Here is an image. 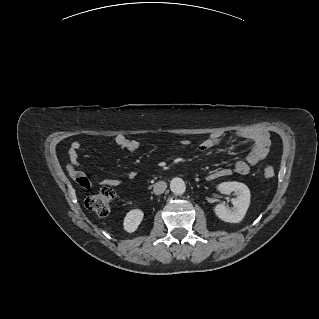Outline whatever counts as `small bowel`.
<instances>
[{
    "label": "small bowel",
    "instance_id": "1",
    "mask_svg": "<svg viewBox=\"0 0 319 319\" xmlns=\"http://www.w3.org/2000/svg\"><path fill=\"white\" fill-rule=\"evenodd\" d=\"M235 135L238 138H245L250 140L253 143L252 148L247 152L246 156L242 160H238L234 163V166L232 169L229 168H218L211 172H209L206 176V179L209 181L216 180L225 176H228L232 173L245 175L248 174L251 167L258 164L262 160L265 159V157L268 154V146L270 143L269 134L262 132V133H242V132H236ZM225 139V134L221 132H216L210 134L206 139H204L202 142L198 145V150L202 153L209 152L210 150L214 149L216 146H218L223 140ZM115 144L123 148L127 151H135L139 148V143L136 140H132L127 138L124 135H117L115 137ZM187 140H183V145H188ZM81 149V145L79 142H73L71 146V152H70V161L72 164H76L79 159V151ZM73 176L76 178L77 181L81 182L82 180H85L87 183V179L85 178V175L81 172H74ZM136 176V173L131 171L127 174V177L129 179H134ZM122 183L120 179L116 178H105L100 180V184L106 185V186H112L117 187Z\"/></svg>",
    "mask_w": 319,
    "mask_h": 319
}]
</instances>
